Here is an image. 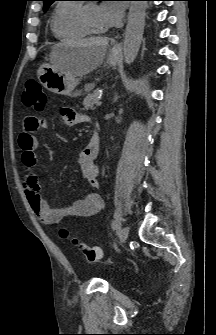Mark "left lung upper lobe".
Masks as SVG:
<instances>
[{"instance_id": "1", "label": "left lung upper lobe", "mask_w": 216, "mask_h": 335, "mask_svg": "<svg viewBox=\"0 0 216 335\" xmlns=\"http://www.w3.org/2000/svg\"><path fill=\"white\" fill-rule=\"evenodd\" d=\"M44 1V10L46 11L48 9V7L56 0H42Z\"/></svg>"}]
</instances>
